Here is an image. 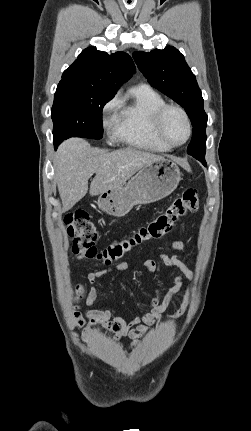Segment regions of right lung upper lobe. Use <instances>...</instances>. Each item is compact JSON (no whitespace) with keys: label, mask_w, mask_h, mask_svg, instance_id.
I'll return each mask as SVG.
<instances>
[{"label":"right lung upper lobe","mask_w":251,"mask_h":431,"mask_svg":"<svg viewBox=\"0 0 251 431\" xmlns=\"http://www.w3.org/2000/svg\"><path fill=\"white\" fill-rule=\"evenodd\" d=\"M134 72V63L125 52L109 55L95 47H89L63 72L59 84L90 88L114 95Z\"/></svg>","instance_id":"right-lung-upper-lobe-1"}]
</instances>
